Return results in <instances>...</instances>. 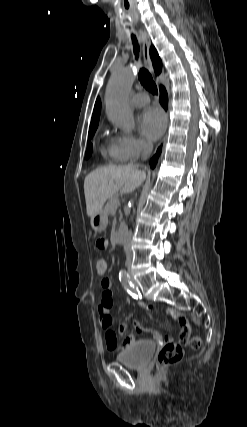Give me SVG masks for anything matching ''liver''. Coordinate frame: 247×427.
Here are the masks:
<instances>
[{"instance_id": "liver-1", "label": "liver", "mask_w": 247, "mask_h": 427, "mask_svg": "<svg viewBox=\"0 0 247 427\" xmlns=\"http://www.w3.org/2000/svg\"><path fill=\"white\" fill-rule=\"evenodd\" d=\"M146 174L136 165L107 166L90 172L84 180L86 209L89 217L98 214L106 200L119 190L130 193L145 180Z\"/></svg>"}]
</instances>
